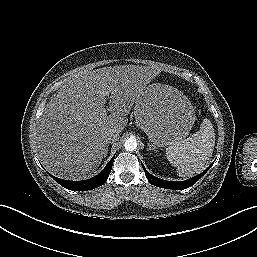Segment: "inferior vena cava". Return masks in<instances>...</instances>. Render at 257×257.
I'll use <instances>...</instances> for the list:
<instances>
[{
  "mask_svg": "<svg viewBox=\"0 0 257 257\" xmlns=\"http://www.w3.org/2000/svg\"><path fill=\"white\" fill-rule=\"evenodd\" d=\"M102 136L107 143L115 142L119 139V134L114 131H105Z\"/></svg>",
  "mask_w": 257,
  "mask_h": 257,
  "instance_id": "inferior-vena-cava-1",
  "label": "inferior vena cava"
}]
</instances>
